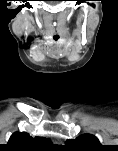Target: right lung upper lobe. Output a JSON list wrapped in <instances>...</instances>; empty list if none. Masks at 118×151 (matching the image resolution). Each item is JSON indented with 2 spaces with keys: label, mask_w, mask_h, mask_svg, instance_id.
Segmentation results:
<instances>
[{
  "label": "right lung upper lobe",
  "mask_w": 118,
  "mask_h": 151,
  "mask_svg": "<svg viewBox=\"0 0 118 151\" xmlns=\"http://www.w3.org/2000/svg\"><path fill=\"white\" fill-rule=\"evenodd\" d=\"M45 137L32 138L28 133L15 132L12 134L6 149L12 151H32L50 147Z\"/></svg>",
  "instance_id": "obj_1"
}]
</instances>
